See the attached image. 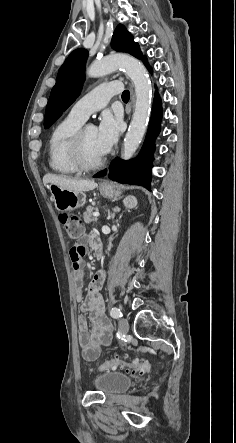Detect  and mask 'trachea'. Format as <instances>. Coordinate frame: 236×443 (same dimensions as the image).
<instances>
[{"label":"trachea","instance_id":"trachea-1","mask_svg":"<svg viewBox=\"0 0 236 443\" xmlns=\"http://www.w3.org/2000/svg\"><path fill=\"white\" fill-rule=\"evenodd\" d=\"M129 98H130V93H129L128 90H125V91L122 93V99H123L124 102H127V101L129 100Z\"/></svg>","mask_w":236,"mask_h":443}]
</instances>
